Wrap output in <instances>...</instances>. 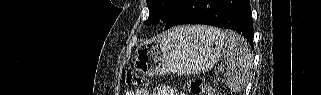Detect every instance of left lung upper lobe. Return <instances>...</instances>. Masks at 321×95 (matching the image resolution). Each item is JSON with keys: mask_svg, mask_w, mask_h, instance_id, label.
I'll list each match as a JSON object with an SVG mask.
<instances>
[{"mask_svg": "<svg viewBox=\"0 0 321 95\" xmlns=\"http://www.w3.org/2000/svg\"><path fill=\"white\" fill-rule=\"evenodd\" d=\"M182 0H147L149 18L145 25H157L159 21H167Z\"/></svg>", "mask_w": 321, "mask_h": 95, "instance_id": "obj_1", "label": "left lung upper lobe"}]
</instances>
